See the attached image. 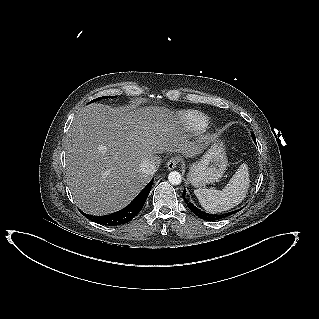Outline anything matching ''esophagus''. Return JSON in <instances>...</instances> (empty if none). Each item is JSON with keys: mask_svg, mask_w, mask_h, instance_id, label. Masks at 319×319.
I'll use <instances>...</instances> for the list:
<instances>
[{"mask_svg": "<svg viewBox=\"0 0 319 319\" xmlns=\"http://www.w3.org/2000/svg\"><path fill=\"white\" fill-rule=\"evenodd\" d=\"M179 163V159L178 158H175V157H172L168 160L167 162V168L168 170H173L177 167Z\"/></svg>", "mask_w": 319, "mask_h": 319, "instance_id": "esophagus-1", "label": "esophagus"}]
</instances>
